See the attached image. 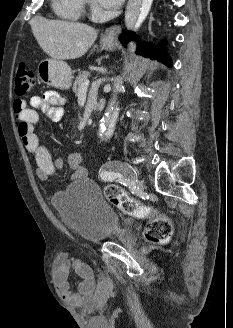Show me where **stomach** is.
<instances>
[{
	"label": "stomach",
	"mask_w": 233,
	"mask_h": 328,
	"mask_svg": "<svg viewBox=\"0 0 233 328\" xmlns=\"http://www.w3.org/2000/svg\"><path fill=\"white\" fill-rule=\"evenodd\" d=\"M100 44L102 49L112 50L115 47V41L110 37H103ZM37 73L43 83L52 87L67 90L71 86V68L62 60L51 58L41 61L38 65Z\"/></svg>",
	"instance_id": "stomach-1"
}]
</instances>
